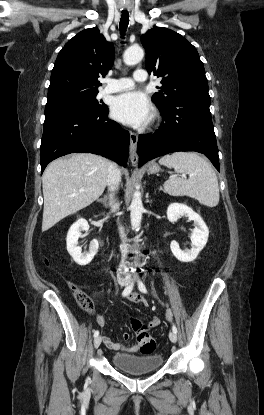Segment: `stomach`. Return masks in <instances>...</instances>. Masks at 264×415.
I'll return each mask as SVG.
<instances>
[{"label": "stomach", "mask_w": 264, "mask_h": 415, "mask_svg": "<svg viewBox=\"0 0 264 415\" xmlns=\"http://www.w3.org/2000/svg\"><path fill=\"white\" fill-rule=\"evenodd\" d=\"M160 171V167L156 163H151L148 166V173L149 174H156Z\"/></svg>", "instance_id": "0dacf381"}]
</instances>
